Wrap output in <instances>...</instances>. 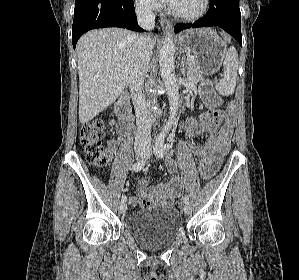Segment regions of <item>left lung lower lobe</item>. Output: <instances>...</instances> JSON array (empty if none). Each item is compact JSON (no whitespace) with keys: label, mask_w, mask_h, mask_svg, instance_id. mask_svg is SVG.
Segmentation results:
<instances>
[{"label":"left lung lower lobe","mask_w":299,"mask_h":280,"mask_svg":"<svg viewBox=\"0 0 299 280\" xmlns=\"http://www.w3.org/2000/svg\"><path fill=\"white\" fill-rule=\"evenodd\" d=\"M218 26L231 34L242 46L239 0H210L207 14L192 24H177L176 33L187 28Z\"/></svg>","instance_id":"obj_1"}]
</instances>
